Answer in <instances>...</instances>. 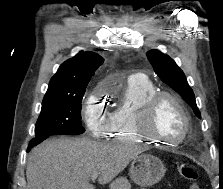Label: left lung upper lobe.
Instances as JSON below:
<instances>
[{"label": "left lung upper lobe", "instance_id": "left-lung-upper-lobe-1", "mask_svg": "<svg viewBox=\"0 0 223 189\" xmlns=\"http://www.w3.org/2000/svg\"><path fill=\"white\" fill-rule=\"evenodd\" d=\"M147 58L159 78L174 89L192 107L195 115L201 118L194 93L188 85L183 71L176 65L174 60L157 50L148 51Z\"/></svg>", "mask_w": 223, "mask_h": 189}]
</instances>
